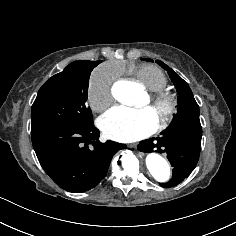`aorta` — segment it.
I'll list each match as a JSON object with an SVG mask.
<instances>
[{
    "label": "aorta",
    "instance_id": "762f6f07",
    "mask_svg": "<svg viewBox=\"0 0 236 236\" xmlns=\"http://www.w3.org/2000/svg\"><path fill=\"white\" fill-rule=\"evenodd\" d=\"M115 93L125 103H133L135 101L136 94L129 83L119 85ZM146 166L150 174L158 182H167L171 177L168 162L158 153L151 152L147 154Z\"/></svg>",
    "mask_w": 236,
    "mask_h": 236
}]
</instances>
